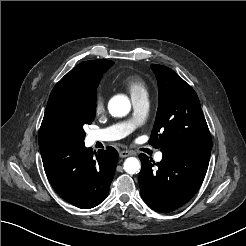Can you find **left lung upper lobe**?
<instances>
[{
	"instance_id": "1",
	"label": "left lung upper lobe",
	"mask_w": 246,
	"mask_h": 246,
	"mask_svg": "<svg viewBox=\"0 0 246 246\" xmlns=\"http://www.w3.org/2000/svg\"><path fill=\"white\" fill-rule=\"evenodd\" d=\"M159 88L149 144L161 148H212L210 132L193 88L170 68L152 64Z\"/></svg>"
}]
</instances>
